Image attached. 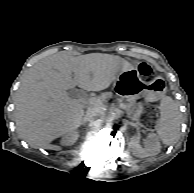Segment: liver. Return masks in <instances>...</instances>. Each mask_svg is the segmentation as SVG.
<instances>
[{
  "label": "liver",
  "mask_w": 194,
  "mask_h": 193,
  "mask_svg": "<svg viewBox=\"0 0 194 193\" xmlns=\"http://www.w3.org/2000/svg\"><path fill=\"white\" fill-rule=\"evenodd\" d=\"M132 68L124 58L104 53L75 57L59 52L41 59L24 74L16 92L19 134L33 147L53 149V140L83 124L84 108L100 103L71 98L67 90L75 86L86 91L105 90L120 72Z\"/></svg>",
  "instance_id": "obj_1"
}]
</instances>
